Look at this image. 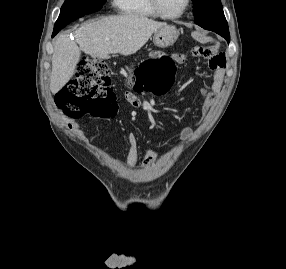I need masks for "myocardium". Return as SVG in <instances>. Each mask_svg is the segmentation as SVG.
<instances>
[{
	"label": "myocardium",
	"mask_w": 286,
	"mask_h": 269,
	"mask_svg": "<svg viewBox=\"0 0 286 269\" xmlns=\"http://www.w3.org/2000/svg\"><path fill=\"white\" fill-rule=\"evenodd\" d=\"M150 4L158 16L163 17L165 19H178L185 15V13L190 7L191 0H186L183 9L177 14H168L167 12H165L161 7L160 0H150Z\"/></svg>",
	"instance_id": "obj_1"
}]
</instances>
